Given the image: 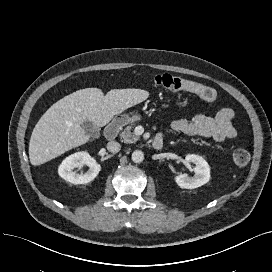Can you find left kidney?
<instances>
[{"label": "left kidney", "mask_w": 272, "mask_h": 272, "mask_svg": "<svg viewBox=\"0 0 272 272\" xmlns=\"http://www.w3.org/2000/svg\"><path fill=\"white\" fill-rule=\"evenodd\" d=\"M185 161L195 164L193 177L187 174H179L175 176V182L184 189H194L206 184L210 180V167L206 160L195 154H188Z\"/></svg>", "instance_id": "left-kidney-1"}]
</instances>
